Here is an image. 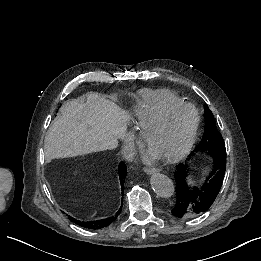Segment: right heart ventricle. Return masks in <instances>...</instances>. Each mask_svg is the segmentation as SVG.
Returning a JSON list of instances; mask_svg holds the SVG:
<instances>
[{"mask_svg":"<svg viewBox=\"0 0 261 261\" xmlns=\"http://www.w3.org/2000/svg\"><path fill=\"white\" fill-rule=\"evenodd\" d=\"M182 102V98L171 89H143L140 101L135 106L131 107L132 121L137 123L140 118L157 113L168 104Z\"/></svg>","mask_w":261,"mask_h":261,"instance_id":"right-heart-ventricle-1","label":"right heart ventricle"}]
</instances>
